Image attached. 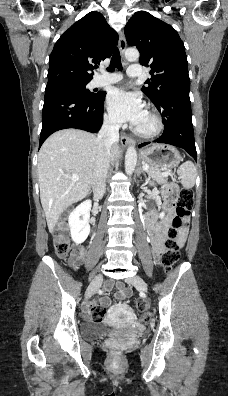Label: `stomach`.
<instances>
[{
	"label": "stomach",
	"instance_id": "0dacf381",
	"mask_svg": "<svg viewBox=\"0 0 228 396\" xmlns=\"http://www.w3.org/2000/svg\"><path fill=\"white\" fill-rule=\"evenodd\" d=\"M140 158L151 166L164 169H174L182 160L179 151L168 144L146 147L140 151Z\"/></svg>",
	"mask_w": 228,
	"mask_h": 396
}]
</instances>
